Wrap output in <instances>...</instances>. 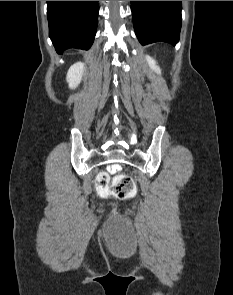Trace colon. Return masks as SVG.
Masks as SVG:
<instances>
[{
    "label": "colon",
    "mask_w": 233,
    "mask_h": 295,
    "mask_svg": "<svg viewBox=\"0 0 233 295\" xmlns=\"http://www.w3.org/2000/svg\"><path fill=\"white\" fill-rule=\"evenodd\" d=\"M96 188L102 196L124 200L130 199L136 194V184L127 175H118L110 180L107 173H99L96 177Z\"/></svg>",
    "instance_id": "1"
}]
</instances>
